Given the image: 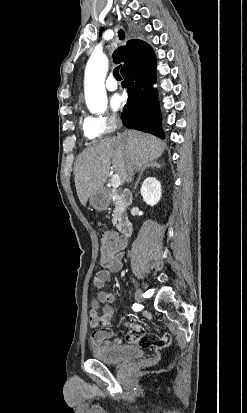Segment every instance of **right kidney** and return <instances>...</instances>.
<instances>
[{
  "mask_svg": "<svg viewBox=\"0 0 247 413\" xmlns=\"http://www.w3.org/2000/svg\"><path fill=\"white\" fill-rule=\"evenodd\" d=\"M161 190V182H159L155 176H148V178H145L140 188L143 200H145L147 204H151V207H154V204L159 202L162 196Z\"/></svg>",
  "mask_w": 247,
  "mask_h": 413,
  "instance_id": "ca27d5eb",
  "label": "right kidney"
}]
</instances>
